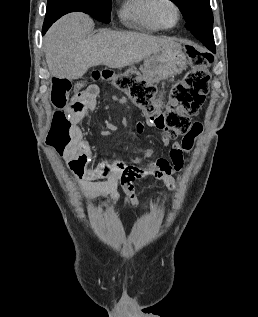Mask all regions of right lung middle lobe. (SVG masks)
<instances>
[{"mask_svg": "<svg viewBox=\"0 0 258 317\" xmlns=\"http://www.w3.org/2000/svg\"><path fill=\"white\" fill-rule=\"evenodd\" d=\"M89 2V5L94 9L95 19L109 23L110 22V10L111 0H85Z\"/></svg>", "mask_w": 258, "mask_h": 317, "instance_id": "dd1d6c3e", "label": "right lung middle lobe"}]
</instances>
